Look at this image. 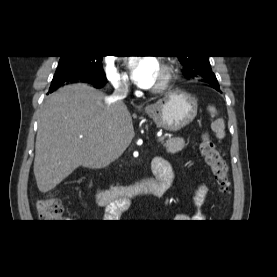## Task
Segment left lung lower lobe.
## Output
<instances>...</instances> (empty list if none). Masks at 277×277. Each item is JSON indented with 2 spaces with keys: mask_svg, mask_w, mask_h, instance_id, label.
<instances>
[{
  "mask_svg": "<svg viewBox=\"0 0 277 277\" xmlns=\"http://www.w3.org/2000/svg\"><path fill=\"white\" fill-rule=\"evenodd\" d=\"M201 81L206 82V83H209L210 86H211L212 88H214V89H216L217 91L221 92L217 80H214V79H207V80L202 79Z\"/></svg>",
  "mask_w": 277,
  "mask_h": 277,
  "instance_id": "obj_1",
  "label": "left lung lower lobe"
}]
</instances>
